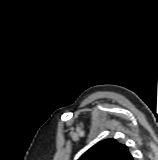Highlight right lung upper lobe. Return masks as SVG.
<instances>
[{
    "label": "right lung upper lobe",
    "instance_id": "obj_1",
    "mask_svg": "<svg viewBox=\"0 0 158 160\" xmlns=\"http://www.w3.org/2000/svg\"><path fill=\"white\" fill-rule=\"evenodd\" d=\"M78 160H133L127 146L105 139L87 150Z\"/></svg>",
    "mask_w": 158,
    "mask_h": 160
}]
</instances>
